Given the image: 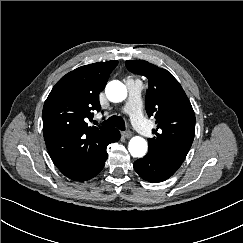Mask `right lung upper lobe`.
<instances>
[{"label":"right lung upper lobe","instance_id":"cb5924a9","mask_svg":"<svg viewBox=\"0 0 243 243\" xmlns=\"http://www.w3.org/2000/svg\"><path fill=\"white\" fill-rule=\"evenodd\" d=\"M118 61L81 66L63 76L43 107V135L58 168L87 166L104 148L114 128L89 127L93 110L100 111L99 93Z\"/></svg>","mask_w":243,"mask_h":243}]
</instances>
